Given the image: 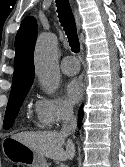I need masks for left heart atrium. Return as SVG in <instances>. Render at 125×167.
Wrapping results in <instances>:
<instances>
[{
	"label": "left heart atrium",
	"mask_w": 125,
	"mask_h": 167,
	"mask_svg": "<svg viewBox=\"0 0 125 167\" xmlns=\"http://www.w3.org/2000/svg\"><path fill=\"white\" fill-rule=\"evenodd\" d=\"M84 92L83 84L78 78H71L65 85V93L70 104L77 103Z\"/></svg>",
	"instance_id": "obj_1"
}]
</instances>
